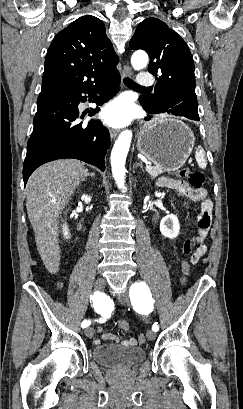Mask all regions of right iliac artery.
Wrapping results in <instances>:
<instances>
[{"label":"right iliac artery","instance_id":"right-iliac-artery-1","mask_svg":"<svg viewBox=\"0 0 243 409\" xmlns=\"http://www.w3.org/2000/svg\"><path fill=\"white\" fill-rule=\"evenodd\" d=\"M90 299H91L92 302H93V306H94L95 310H96L98 313L102 314V313L104 312V309L102 308V301H103V300H102V297H101L100 293H99V292L94 293L93 295H91ZM98 322L102 323V322H104V321H102V320L100 319ZM90 324H91V321H90V320H84V321L81 323V327H82V328H86V327H88Z\"/></svg>","mask_w":243,"mask_h":409}]
</instances>
